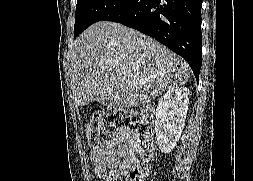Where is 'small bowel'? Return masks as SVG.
Listing matches in <instances>:
<instances>
[{
	"instance_id": "1",
	"label": "small bowel",
	"mask_w": 253,
	"mask_h": 181,
	"mask_svg": "<svg viewBox=\"0 0 253 181\" xmlns=\"http://www.w3.org/2000/svg\"><path fill=\"white\" fill-rule=\"evenodd\" d=\"M129 151L126 145H120L117 149H95L90 153L93 163L94 176L100 181H109V177L117 173L120 159Z\"/></svg>"
}]
</instances>
